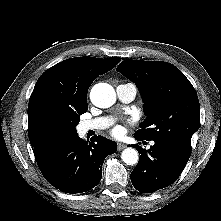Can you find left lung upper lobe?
<instances>
[{
	"mask_svg": "<svg viewBox=\"0 0 221 221\" xmlns=\"http://www.w3.org/2000/svg\"><path fill=\"white\" fill-rule=\"evenodd\" d=\"M116 71L135 82L147 116L134 136L165 140L191 152V138L200 126L197 93L186 76L173 64L124 60Z\"/></svg>",
	"mask_w": 221,
	"mask_h": 221,
	"instance_id": "obj_1",
	"label": "left lung upper lobe"
}]
</instances>
